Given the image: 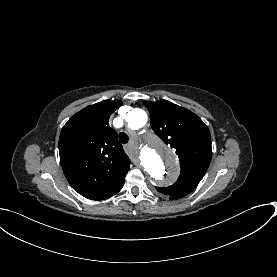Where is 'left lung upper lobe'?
<instances>
[{
  "instance_id": "left-lung-upper-lobe-1",
  "label": "left lung upper lobe",
  "mask_w": 277,
  "mask_h": 277,
  "mask_svg": "<svg viewBox=\"0 0 277 277\" xmlns=\"http://www.w3.org/2000/svg\"><path fill=\"white\" fill-rule=\"evenodd\" d=\"M153 131L176 149L181 173L175 184L157 191L170 200L191 193L205 175L212 157L211 135L205 123L193 112L166 100L145 101Z\"/></svg>"
}]
</instances>
